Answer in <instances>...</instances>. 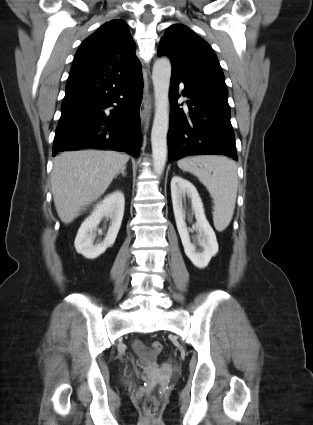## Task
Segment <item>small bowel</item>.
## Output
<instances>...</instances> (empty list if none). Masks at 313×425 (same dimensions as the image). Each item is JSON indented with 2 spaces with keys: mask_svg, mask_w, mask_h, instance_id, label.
Returning <instances> with one entry per match:
<instances>
[{
  "mask_svg": "<svg viewBox=\"0 0 313 425\" xmlns=\"http://www.w3.org/2000/svg\"><path fill=\"white\" fill-rule=\"evenodd\" d=\"M135 348H136L137 350H141V349L143 348L142 343H141V342H136V343H135Z\"/></svg>",
  "mask_w": 313,
  "mask_h": 425,
  "instance_id": "1",
  "label": "small bowel"
}]
</instances>
